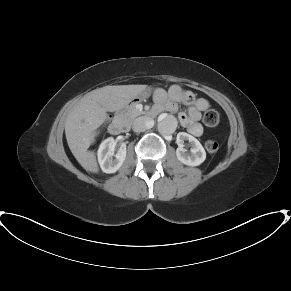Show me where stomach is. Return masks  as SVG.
I'll return each mask as SVG.
<instances>
[{
	"instance_id": "obj_1",
	"label": "stomach",
	"mask_w": 291,
	"mask_h": 291,
	"mask_svg": "<svg viewBox=\"0 0 291 291\" xmlns=\"http://www.w3.org/2000/svg\"><path fill=\"white\" fill-rule=\"evenodd\" d=\"M149 93H150V90H147V91L143 92L142 93V97H146Z\"/></svg>"
}]
</instances>
